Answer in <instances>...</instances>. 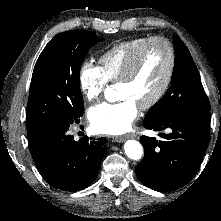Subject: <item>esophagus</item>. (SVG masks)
Listing matches in <instances>:
<instances>
[{
  "instance_id": "esophagus-1",
  "label": "esophagus",
  "mask_w": 221,
  "mask_h": 221,
  "mask_svg": "<svg viewBox=\"0 0 221 221\" xmlns=\"http://www.w3.org/2000/svg\"><path fill=\"white\" fill-rule=\"evenodd\" d=\"M131 137H132V135L116 136V137H113V141L120 143V142H124L126 139L131 138Z\"/></svg>"
}]
</instances>
